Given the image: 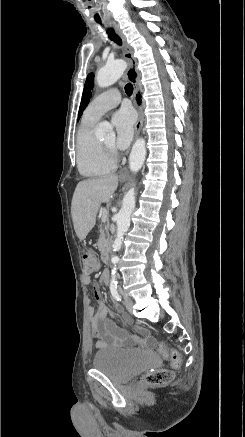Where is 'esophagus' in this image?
<instances>
[{
  "label": "esophagus",
  "mask_w": 245,
  "mask_h": 437,
  "mask_svg": "<svg viewBox=\"0 0 245 437\" xmlns=\"http://www.w3.org/2000/svg\"><path fill=\"white\" fill-rule=\"evenodd\" d=\"M114 27H115L117 34L121 38L122 43H123L124 58L126 59L127 64H128V67L126 70V77L133 85L134 93L137 94V92L139 90L138 72H137V62L133 56V50L130 47V45L127 43L126 37L124 36V34L122 33V31L120 30L118 25H115ZM136 107H137L138 118H137V121L135 123V138L138 137V135L141 131V128H142V124H143L142 108L138 105Z\"/></svg>",
  "instance_id": "1"
}]
</instances>
